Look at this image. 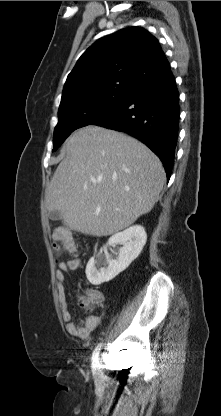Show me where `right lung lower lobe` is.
I'll list each match as a JSON object with an SVG mask.
<instances>
[{"instance_id":"obj_1","label":"right lung lower lobe","mask_w":221,"mask_h":416,"mask_svg":"<svg viewBox=\"0 0 221 416\" xmlns=\"http://www.w3.org/2000/svg\"><path fill=\"white\" fill-rule=\"evenodd\" d=\"M179 94L171 70L165 79L131 91L92 125L126 132L145 143L162 161L169 180L179 126Z\"/></svg>"}]
</instances>
